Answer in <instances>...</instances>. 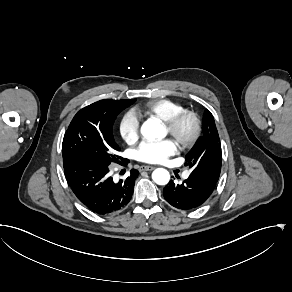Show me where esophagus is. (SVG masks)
Listing matches in <instances>:
<instances>
[{"label": "esophagus", "mask_w": 292, "mask_h": 292, "mask_svg": "<svg viewBox=\"0 0 292 292\" xmlns=\"http://www.w3.org/2000/svg\"><path fill=\"white\" fill-rule=\"evenodd\" d=\"M155 167L153 166H147V165H142L139 167V171L142 172V171H152L154 170Z\"/></svg>", "instance_id": "obj_1"}]
</instances>
